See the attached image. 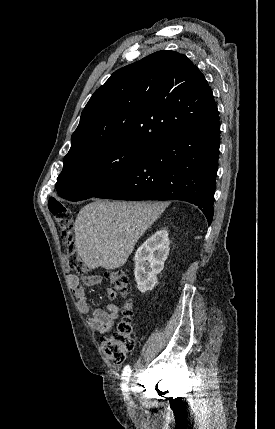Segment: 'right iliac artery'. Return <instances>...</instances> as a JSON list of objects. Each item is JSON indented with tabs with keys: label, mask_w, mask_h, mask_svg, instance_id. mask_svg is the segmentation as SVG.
<instances>
[{
	"label": "right iliac artery",
	"mask_w": 275,
	"mask_h": 429,
	"mask_svg": "<svg viewBox=\"0 0 275 429\" xmlns=\"http://www.w3.org/2000/svg\"><path fill=\"white\" fill-rule=\"evenodd\" d=\"M130 375H131V368L129 365H127L124 368L123 374H122V376H123L122 390L123 391H127V389H128L127 385H128L129 379H130Z\"/></svg>",
	"instance_id": "1"
}]
</instances>
